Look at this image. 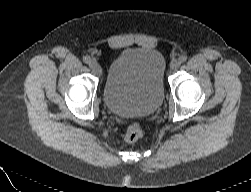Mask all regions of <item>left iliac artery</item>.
<instances>
[{
	"label": "left iliac artery",
	"mask_w": 251,
	"mask_h": 192,
	"mask_svg": "<svg viewBox=\"0 0 251 192\" xmlns=\"http://www.w3.org/2000/svg\"><path fill=\"white\" fill-rule=\"evenodd\" d=\"M186 60H187V56H186V55H181V56L179 57L180 63H183V62H185Z\"/></svg>",
	"instance_id": "obj_1"
}]
</instances>
